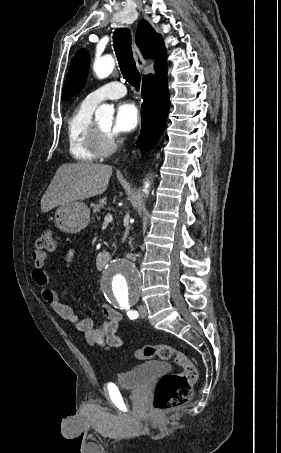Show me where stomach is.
Returning a JSON list of instances; mask_svg holds the SVG:
<instances>
[{
    "instance_id": "stomach-1",
    "label": "stomach",
    "mask_w": 281,
    "mask_h": 453,
    "mask_svg": "<svg viewBox=\"0 0 281 453\" xmlns=\"http://www.w3.org/2000/svg\"><path fill=\"white\" fill-rule=\"evenodd\" d=\"M55 227L62 233H70L76 235L82 229H86L90 222V210L87 204L74 200V202H66L61 204L55 210L54 214Z\"/></svg>"
}]
</instances>
